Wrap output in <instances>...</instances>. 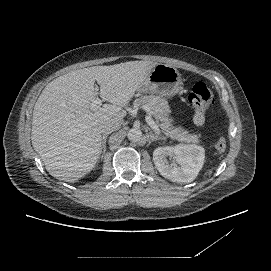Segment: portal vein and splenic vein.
Returning <instances> with one entry per match:
<instances>
[{
  "instance_id": "18ae733b",
  "label": "portal vein and splenic vein",
  "mask_w": 271,
  "mask_h": 271,
  "mask_svg": "<svg viewBox=\"0 0 271 271\" xmlns=\"http://www.w3.org/2000/svg\"><path fill=\"white\" fill-rule=\"evenodd\" d=\"M96 91H98V89H95ZM102 105V100L100 98H96L91 104H90V109L91 110H95L98 109L100 106ZM146 121L147 123L150 125V127L157 133H160V129L158 127V125L155 124L154 120L150 117L147 116L146 117Z\"/></svg>"
}]
</instances>
